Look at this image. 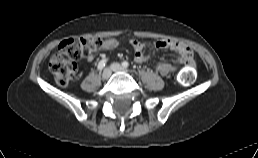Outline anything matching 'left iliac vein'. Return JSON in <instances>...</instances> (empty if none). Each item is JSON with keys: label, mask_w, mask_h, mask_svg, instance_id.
Returning <instances> with one entry per match:
<instances>
[{"label": "left iliac vein", "mask_w": 258, "mask_h": 158, "mask_svg": "<svg viewBox=\"0 0 258 158\" xmlns=\"http://www.w3.org/2000/svg\"><path fill=\"white\" fill-rule=\"evenodd\" d=\"M111 69L114 71V72H128L127 69H125L124 67H122L120 64L118 63H113L111 65Z\"/></svg>", "instance_id": "obj_1"}]
</instances>
